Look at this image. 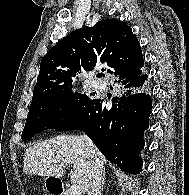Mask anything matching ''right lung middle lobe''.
<instances>
[{"instance_id":"obj_1","label":"right lung middle lobe","mask_w":189,"mask_h":195,"mask_svg":"<svg viewBox=\"0 0 189 195\" xmlns=\"http://www.w3.org/2000/svg\"><path fill=\"white\" fill-rule=\"evenodd\" d=\"M90 100L86 94L73 93L70 87L32 102L22 132V140H28L39 132L60 126Z\"/></svg>"}]
</instances>
